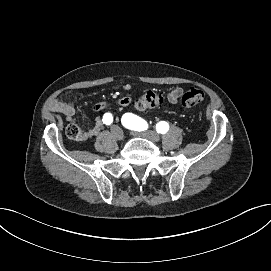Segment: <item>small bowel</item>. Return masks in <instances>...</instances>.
<instances>
[{"label": "small bowel", "instance_id": "obj_1", "mask_svg": "<svg viewBox=\"0 0 271 271\" xmlns=\"http://www.w3.org/2000/svg\"><path fill=\"white\" fill-rule=\"evenodd\" d=\"M123 89L127 92L132 90L131 84H124ZM184 89L181 87L175 88L172 91H170L167 95L168 101L170 103H177L179 99L183 96ZM133 100L129 96H124L119 99H117L114 102H98L93 106V110L95 112L104 111L106 109H110L112 107H125L131 105ZM50 109L53 112L60 113L65 116L66 120L73 124L75 123V107L72 103L63 100V99H55L50 104ZM103 119V118H102ZM101 118L95 119L92 126H90L88 129L84 130L82 132V138L81 140H88L96 137L101 129L102 126V120Z\"/></svg>", "mask_w": 271, "mask_h": 271}]
</instances>
